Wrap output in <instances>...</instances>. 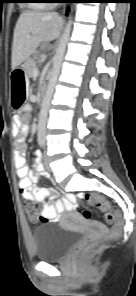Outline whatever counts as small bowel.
I'll list each match as a JSON object with an SVG mask.
<instances>
[{
    "mask_svg": "<svg viewBox=\"0 0 136 296\" xmlns=\"http://www.w3.org/2000/svg\"><path fill=\"white\" fill-rule=\"evenodd\" d=\"M27 108L14 117L17 131L19 136L15 142V164L17 168V175L19 177V188L21 195L24 199L31 200L34 202L42 203L46 199L57 200L54 204L45 205L40 212V217L48 222L59 221L65 212L72 209L75 196L68 194L62 199H59V193L53 188H40L37 187L36 183L39 176L49 179L50 174L45 170L41 163L40 152L34 153V159L32 166L29 168L25 153L27 150L26 135L28 133V125L26 123V112ZM38 216H30L31 221H37Z\"/></svg>",
    "mask_w": 136,
    "mask_h": 296,
    "instance_id": "obj_1",
    "label": "small bowel"
}]
</instances>
